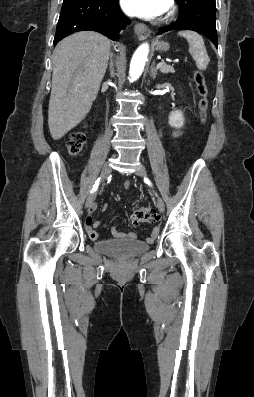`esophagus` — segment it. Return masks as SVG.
Masks as SVG:
<instances>
[{"label":"esophagus","mask_w":254,"mask_h":397,"mask_svg":"<svg viewBox=\"0 0 254 397\" xmlns=\"http://www.w3.org/2000/svg\"><path fill=\"white\" fill-rule=\"evenodd\" d=\"M135 34L140 40H144L150 36V29L143 23H138L134 27Z\"/></svg>","instance_id":"esophagus-1"}]
</instances>
